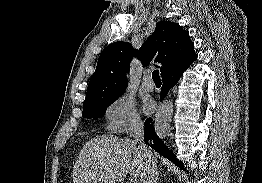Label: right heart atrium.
Wrapping results in <instances>:
<instances>
[{"instance_id": "1", "label": "right heart atrium", "mask_w": 262, "mask_h": 183, "mask_svg": "<svg viewBox=\"0 0 262 183\" xmlns=\"http://www.w3.org/2000/svg\"><path fill=\"white\" fill-rule=\"evenodd\" d=\"M105 119L106 130L117 134L139 130L143 125L136 103L128 95H119L108 104Z\"/></svg>"}]
</instances>
